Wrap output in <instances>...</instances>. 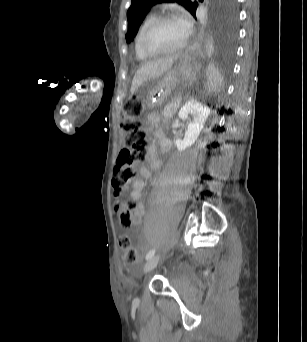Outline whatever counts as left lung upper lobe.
<instances>
[{"instance_id": "left-lung-upper-lobe-1", "label": "left lung upper lobe", "mask_w": 307, "mask_h": 342, "mask_svg": "<svg viewBox=\"0 0 307 342\" xmlns=\"http://www.w3.org/2000/svg\"><path fill=\"white\" fill-rule=\"evenodd\" d=\"M178 2L183 5L194 17L198 7L197 2L190 0H132V4L127 11L128 33L127 42L136 34L138 27L148 13L151 6L160 2ZM202 2L203 0H199ZM216 23L218 32V44L224 54H231L237 36V8L236 0H217Z\"/></svg>"}]
</instances>
